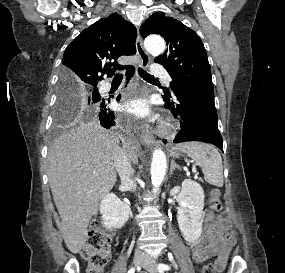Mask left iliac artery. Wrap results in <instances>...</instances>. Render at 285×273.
<instances>
[{"instance_id":"left-iliac-artery-1","label":"left iliac artery","mask_w":285,"mask_h":273,"mask_svg":"<svg viewBox=\"0 0 285 273\" xmlns=\"http://www.w3.org/2000/svg\"><path fill=\"white\" fill-rule=\"evenodd\" d=\"M158 270L159 272L163 273V271H168L170 270V266L167 264H158Z\"/></svg>"}]
</instances>
